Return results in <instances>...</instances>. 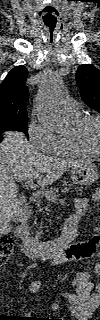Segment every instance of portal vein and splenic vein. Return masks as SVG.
Masks as SVG:
<instances>
[{"label": "portal vein and splenic vein", "mask_w": 100, "mask_h": 320, "mask_svg": "<svg viewBox=\"0 0 100 320\" xmlns=\"http://www.w3.org/2000/svg\"><path fill=\"white\" fill-rule=\"evenodd\" d=\"M21 181H25L27 183V185L33 189L36 190L37 189V185L34 183V178H29V179H19ZM61 192H67V190H63ZM44 196L47 200L49 201H55L57 198L56 192L54 191H45Z\"/></svg>", "instance_id": "portal-vein-and-splenic-vein-1"}]
</instances>
